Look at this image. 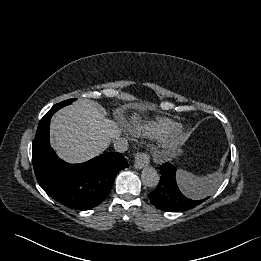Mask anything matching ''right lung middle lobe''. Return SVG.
<instances>
[{"label":"right lung middle lobe","mask_w":261,"mask_h":261,"mask_svg":"<svg viewBox=\"0 0 261 261\" xmlns=\"http://www.w3.org/2000/svg\"><path fill=\"white\" fill-rule=\"evenodd\" d=\"M75 100H76L75 98L68 99V100H65V101H63V102H60V103L56 104V105L53 106V107L60 109V108H62V107H64V106H66V105L71 104V103L74 102Z\"/></svg>","instance_id":"obj_1"}]
</instances>
